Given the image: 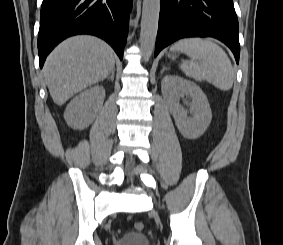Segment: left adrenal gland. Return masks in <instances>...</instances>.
I'll use <instances>...</instances> for the list:
<instances>
[{
	"mask_svg": "<svg viewBox=\"0 0 283 245\" xmlns=\"http://www.w3.org/2000/svg\"><path fill=\"white\" fill-rule=\"evenodd\" d=\"M168 68L166 67V66H163V69L161 70V74L165 71V70H167Z\"/></svg>",
	"mask_w": 283,
	"mask_h": 245,
	"instance_id": "1",
	"label": "left adrenal gland"
}]
</instances>
